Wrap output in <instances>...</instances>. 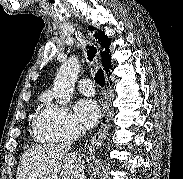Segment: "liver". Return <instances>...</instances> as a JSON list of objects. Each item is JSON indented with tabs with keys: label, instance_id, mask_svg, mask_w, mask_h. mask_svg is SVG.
Listing matches in <instances>:
<instances>
[{
	"label": "liver",
	"instance_id": "obj_1",
	"mask_svg": "<svg viewBox=\"0 0 183 179\" xmlns=\"http://www.w3.org/2000/svg\"><path fill=\"white\" fill-rule=\"evenodd\" d=\"M76 155L60 145L33 146L22 154L16 179H73Z\"/></svg>",
	"mask_w": 183,
	"mask_h": 179
}]
</instances>
